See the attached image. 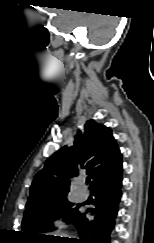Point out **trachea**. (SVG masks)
I'll use <instances>...</instances> for the list:
<instances>
[{
  "mask_svg": "<svg viewBox=\"0 0 154 243\" xmlns=\"http://www.w3.org/2000/svg\"><path fill=\"white\" fill-rule=\"evenodd\" d=\"M86 182H87V183L90 182V177H87Z\"/></svg>",
  "mask_w": 154,
  "mask_h": 243,
  "instance_id": "trachea-1",
  "label": "trachea"
}]
</instances>
